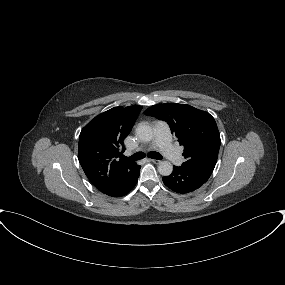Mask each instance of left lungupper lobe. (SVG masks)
Returning <instances> with one entry per match:
<instances>
[{"instance_id": "left-lung-upper-lobe-1", "label": "left lung upper lobe", "mask_w": 285, "mask_h": 285, "mask_svg": "<svg viewBox=\"0 0 285 285\" xmlns=\"http://www.w3.org/2000/svg\"><path fill=\"white\" fill-rule=\"evenodd\" d=\"M146 115L165 120L184 146L186 161L182 166L215 167L220 148V134L214 118L205 111L186 104H157L144 111Z\"/></svg>"}]
</instances>
